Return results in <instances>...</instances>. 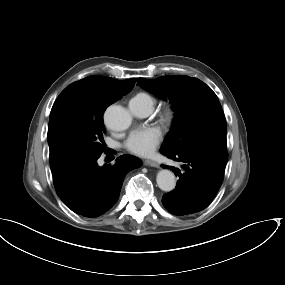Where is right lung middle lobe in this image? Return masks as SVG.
<instances>
[{
	"mask_svg": "<svg viewBox=\"0 0 285 285\" xmlns=\"http://www.w3.org/2000/svg\"><path fill=\"white\" fill-rule=\"evenodd\" d=\"M103 92L72 83L53 104L48 127L50 167L100 155L104 147L103 113L114 103Z\"/></svg>",
	"mask_w": 285,
	"mask_h": 285,
	"instance_id": "right-lung-middle-lobe-1",
	"label": "right lung middle lobe"
}]
</instances>
